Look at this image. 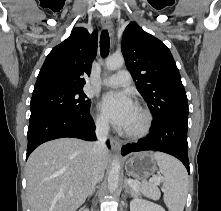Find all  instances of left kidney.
<instances>
[{
  "label": "left kidney",
  "instance_id": "1",
  "mask_svg": "<svg viewBox=\"0 0 221 211\" xmlns=\"http://www.w3.org/2000/svg\"><path fill=\"white\" fill-rule=\"evenodd\" d=\"M130 211H165V209L153 202L135 198L130 202Z\"/></svg>",
  "mask_w": 221,
  "mask_h": 211
}]
</instances>
